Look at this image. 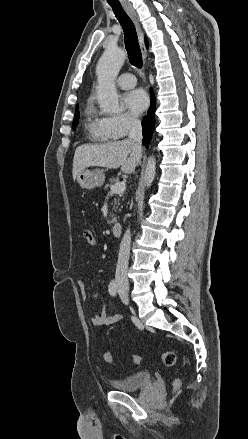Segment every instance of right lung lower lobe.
Returning a JSON list of instances; mask_svg holds the SVG:
<instances>
[{
	"mask_svg": "<svg viewBox=\"0 0 248 439\" xmlns=\"http://www.w3.org/2000/svg\"><path fill=\"white\" fill-rule=\"evenodd\" d=\"M155 107H156V101L154 94H151V106L148 110L147 116H145L142 120V128H143V145H146L148 147L149 142L151 140L154 125H155Z\"/></svg>",
	"mask_w": 248,
	"mask_h": 439,
	"instance_id": "right-lung-lower-lobe-1",
	"label": "right lung lower lobe"
}]
</instances>
